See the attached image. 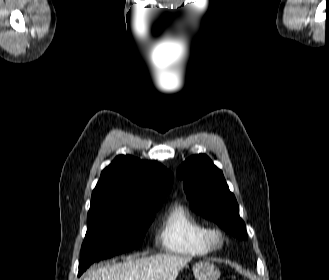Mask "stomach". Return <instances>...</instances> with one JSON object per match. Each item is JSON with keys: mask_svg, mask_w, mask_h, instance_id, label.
Here are the masks:
<instances>
[{"mask_svg": "<svg viewBox=\"0 0 329 280\" xmlns=\"http://www.w3.org/2000/svg\"><path fill=\"white\" fill-rule=\"evenodd\" d=\"M192 270L197 280H218L220 277L219 269L209 261L195 263Z\"/></svg>", "mask_w": 329, "mask_h": 280, "instance_id": "obj_1", "label": "stomach"}]
</instances>
